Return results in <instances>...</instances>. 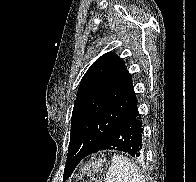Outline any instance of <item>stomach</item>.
<instances>
[{"label":"stomach","mask_w":196,"mask_h":182,"mask_svg":"<svg viewBox=\"0 0 196 182\" xmlns=\"http://www.w3.org/2000/svg\"><path fill=\"white\" fill-rule=\"evenodd\" d=\"M102 161L100 159L89 162L84 166L83 172L87 174L95 173L101 168Z\"/></svg>","instance_id":"0dacf381"}]
</instances>
